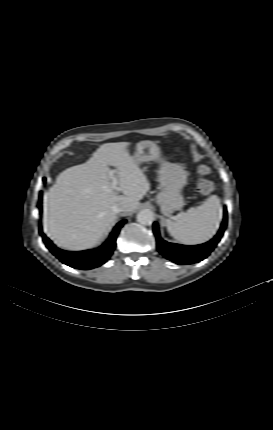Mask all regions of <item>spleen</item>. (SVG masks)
I'll use <instances>...</instances> for the list:
<instances>
[{
    "label": "spleen",
    "mask_w": 273,
    "mask_h": 430,
    "mask_svg": "<svg viewBox=\"0 0 273 430\" xmlns=\"http://www.w3.org/2000/svg\"><path fill=\"white\" fill-rule=\"evenodd\" d=\"M222 207L217 195H211L202 205L190 208L175 219H167L170 235L177 241L195 245L211 239L220 224Z\"/></svg>",
    "instance_id": "1"
}]
</instances>
